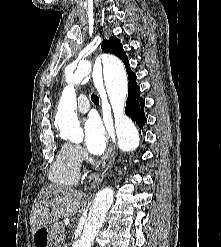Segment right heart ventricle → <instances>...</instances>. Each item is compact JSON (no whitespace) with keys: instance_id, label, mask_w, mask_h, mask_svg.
<instances>
[{"instance_id":"1","label":"right heart ventricle","mask_w":221,"mask_h":247,"mask_svg":"<svg viewBox=\"0 0 221 247\" xmlns=\"http://www.w3.org/2000/svg\"><path fill=\"white\" fill-rule=\"evenodd\" d=\"M79 174L80 170L74 159L73 146L63 144L49 171L50 181L59 185H73L78 181Z\"/></svg>"}]
</instances>
